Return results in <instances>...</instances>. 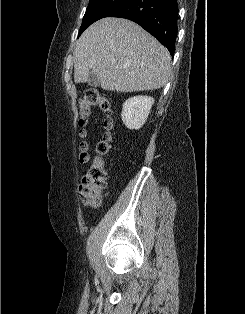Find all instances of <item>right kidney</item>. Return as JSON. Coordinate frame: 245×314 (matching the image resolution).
<instances>
[{
    "instance_id": "1",
    "label": "right kidney",
    "mask_w": 245,
    "mask_h": 314,
    "mask_svg": "<svg viewBox=\"0 0 245 314\" xmlns=\"http://www.w3.org/2000/svg\"><path fill=\"white\" fill-rule=\"evenodd\" d=\"M154 99L148 96H135L125 101L121 113L122 121L128 129H140L146 122Z\"/></svg>"
}]
</instances>
